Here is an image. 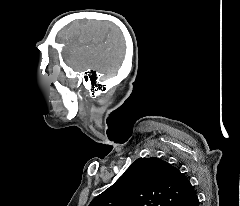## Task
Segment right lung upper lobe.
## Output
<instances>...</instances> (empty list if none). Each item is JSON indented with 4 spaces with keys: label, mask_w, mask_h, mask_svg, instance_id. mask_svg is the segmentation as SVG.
Returning <instances> with one entry per match:
<instances>
[{
    "label": "right lung upper lobe",
    "mask_w": 240,
    "mask_h": 206,
    "mask_svg": "<svg viewBox=\"0 0 240 206\" xmlns=\"http://www.w3.org/2000/svg\"><path fill=\"white\" fill-rule=\"evenodd\" d=\"M188 178L159 158H139L89 206H178L195 196Z\"/></svg>",
    "instance_id": "right-lung-upper-lobe-1"
}]
</instances>
